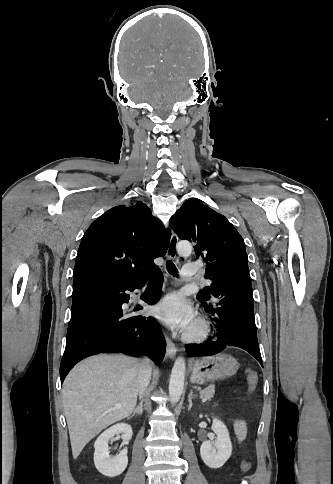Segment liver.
<instances>
[{
  "instance_id": "obj_1",
  "label": "liver",
  "mask_w": 333,
  "mask_h": 484,
  "mask_svg": "<svg viewBox=\"0 0 333 484\" xmlns=\"http://www.w3.org/2000/svg\"><path fill=\"white\" fill-rule=\"evenodd\" d=\"M140 361L123 355H96L77 364L62 388L72 455L109 425L133 412L139 393ZM120 404L121 408H115Z\"/></svg>"
}]
</instances>
